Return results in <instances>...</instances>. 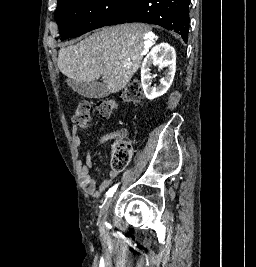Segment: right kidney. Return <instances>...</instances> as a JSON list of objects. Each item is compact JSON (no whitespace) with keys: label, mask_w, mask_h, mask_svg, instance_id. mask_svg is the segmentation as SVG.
<instances>
[{"label":"right kidney","mask_w":256,"mask_h":267,"mask_svg":"<svg viewBox=\"0 0 256 267\" xmlns=\"http://www.w3.org/2000/svg\"><path fill=\"white\" fill-rule=\"evenodd\" d=\"M151 66H159V68H167L166 76L161 78L160 86L152 88L151 86ZM176 72V54L174 48L169 44H158L154 46L151 52L147 54L143 64L141 66V82L144 90V94L148 100H154L166 94L169 90Z\"/></svg>","instance_id":"obj_1"}]
</instances>
